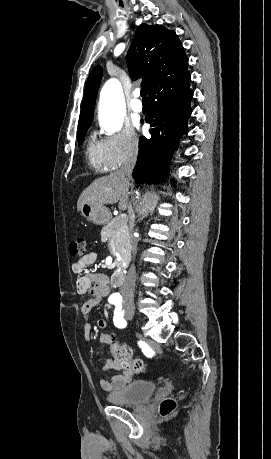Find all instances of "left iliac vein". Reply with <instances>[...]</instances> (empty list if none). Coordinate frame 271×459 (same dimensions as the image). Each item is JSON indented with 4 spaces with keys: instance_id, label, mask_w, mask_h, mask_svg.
Wrapping results in <instances>:
<instances>
[{
    "instance_id": "4c4485c4",
    "label": "left iliac vein",
    "mask_w": 271,
    "mask_h": 459,
    "mask_svg": "<svg viewBox=\"0 0 271 459\" xmlns=\"http://www.w3.org/2000/svg\"><path fill=\"white\" fill-rule=\"evenodd\" d=\"M131 316H132V315H127V318H129V319H130V318H131Z\"/></svg>"
}]
</instances>
